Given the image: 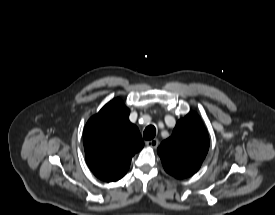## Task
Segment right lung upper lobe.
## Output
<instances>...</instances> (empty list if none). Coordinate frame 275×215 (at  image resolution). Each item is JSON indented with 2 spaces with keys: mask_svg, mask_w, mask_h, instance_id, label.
Wrapping results in <instances>:
<instances>
[{
  "mask_svg": "<svg viewBox=\"0 0 275 215\" xmlns=\"http://www.w3.org/2000/svg\"><path fill=\"white\" fill-rule=\"evenodd\" d=\"M129 109L121 99L108 102L87 122L83 132L86 161L92 172L106 182L122 178L131 158L144 142L138 128L129 121Z\"/></svg>",
  "mask_w": 275,
  "mask_h": 215,
  "instance_id": "right-lung-upper-lobe-1",
  "label": "right lung upper lobe"
}]
</instances>
